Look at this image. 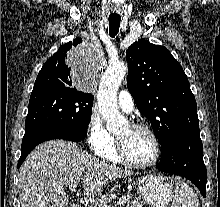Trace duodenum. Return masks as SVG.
<instances>
[{
    "mask_svg": "<svg viewBox=\"0 0 220 207\" xmlns=\"http://www.w3.org/2000/svg\"><path fill=\"white\" fill-rule=\"evenodd\" d=\"M71 207H79V206H77V205H72Z\"/></svg>",
    "mask_w": 220,
    "mask_h": 207,
    "instance_id": "1",
    "label": "duodenum"
}]
</instances>
